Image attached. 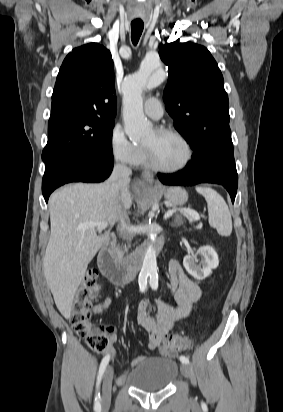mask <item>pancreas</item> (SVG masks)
<instances>
[{
  "instance_id": "1",
  "label": "pancreas",
  "mask_w": 283,
  "mask_h": 412,
  "mask_svg": "<svg viewBox=\"0 0 283 412\" xmlns=\"http://www.w3.org/2000/svg\"><path fill=\"white\" fill-rule=\"evenodd\" d=\"M189 219H190L191 221H196V220L192 219L191 217H189ZM181 222H182V216L178 215V216L176 217V223H177V225L181 224ZM119 254H120V255H123V252L120 251Z\"/></svg>"
}]
</instances>
